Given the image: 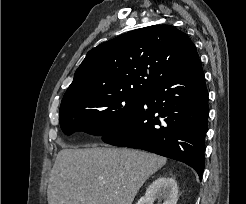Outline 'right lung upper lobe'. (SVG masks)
<instances>
[{
  "mask_svg": "<svg viewBox=\"0 0 246 204\" xmlns=\"http://www.w3.org/2000/svg\"><path fill=\"white\" fill-rule=\"evenodd\" d=\"M198 59L192 41L171 25L130 31L88 52L60 108L95 96L143 93Z\"/></svg>",
  "mask_w": 246,
  "mask_h": 204,
  "instance_id": "obj_1",
  "label": "right lung upper lobe"
}]
</instances>
